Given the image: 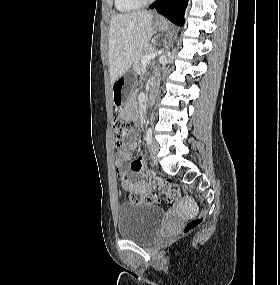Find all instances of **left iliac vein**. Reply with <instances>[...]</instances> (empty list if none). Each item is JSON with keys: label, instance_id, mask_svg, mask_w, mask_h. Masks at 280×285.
<instances>
[{"label": "left iliac vein", "instance_id": "1", "mask_svg": "<svg viewBox=\"0 0 280 285\" xmlns=\"http://www.w3.org/2000/svg\"><path fill=\"white\" fill-rule=\"evenodd\" d=\"M158 150H159V144L157 141L153 140L150 144L149 152H150L151 159L154 162L157 161Z\"/></svg>", "mask_w": 280, "mask_h": 285}]
</instances>
